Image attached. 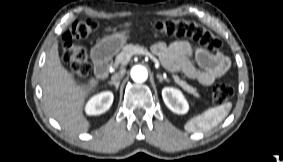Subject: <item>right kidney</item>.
<instances>
[{
    "label": "right kidney",
    "mask_w": 283,
    "mask_h": 162,
    "mask_svg": "<svg viewBox=\"0 0 283 162\" xmlns=\"http://www.w3.org/2000/svg\"><path fill=\"white\" fill-rule=\"evenodd\" d=\"M113 93L105 91L94 95L86 104L85 111L88 115H100L105 113L113 103Z\"/></svg>",
    "instance_id": "1"
}]
</instances>
